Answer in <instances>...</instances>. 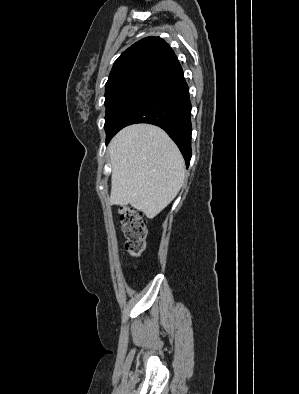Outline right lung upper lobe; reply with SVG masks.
<instances>
[{
    "mask_svg": "<svg viewBox=\"0 0 299 394\" xmlns=\"http://www.w3.org/2000/svg\"><path fill=\"white\" fill-rule=\"evenodd\" d=\"M180 67L171 47L161 38L146 37L125 50L115 61L105 91L138 84L150 87Z\"/></svg>",
    "mask_w": 299,
    "mask_h": 394,
    "instance_id": "1",
    "label": "right lung upper lobe"
}]
</instances>
